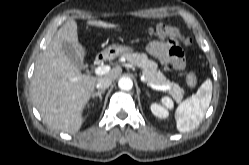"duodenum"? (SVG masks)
Here are the masks:
<instances>
[{
    "mask_svg": "<svg viewBox=\"0 0 249 165\" xmlns=\"http://www.w3.org/2000/svg\"><path fill=\"white\" fill-rule=\"evenodd\" d=\"M106 57H107V56H106L105 54H100V55L96 58V63H97V64L102 63L103 61H105Z\"/></svg>",
    "mask_w": 249,
    "mask_h": 165,
    "instance_id": "duodenum-1",
    "label": "duodenum"
}]
</instances>
